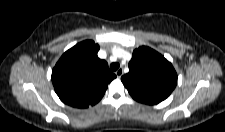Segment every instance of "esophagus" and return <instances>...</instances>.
I'll return each mask as SVG.
<instances>
[{
  "label": "esophagus",
  "mask_w": 225,
  "mask_h": 132,
  "mask_svg": "<svg viewBox=\"0 0 225 132\" xmlns=\"http://www.w3.org/2000/svg\"><path fill=\"white\" fill-rule=\"evenodd\" d=\"M116 76L118 78H120L122 75H123V69L122 68H119L116 72H115Z\"/></svg>",
  "instance_id": "esophagus-1"
}]
</instances>
